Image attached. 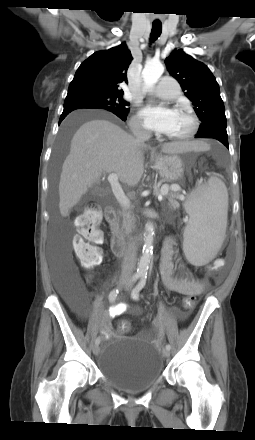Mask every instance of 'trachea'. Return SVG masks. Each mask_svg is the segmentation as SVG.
<instances>
[{"label":"trachea","mask_w":255,"mask_h":440,"mask_svg":"<svg viewBox=\"0 0 255 440\" xmlns=\"http://www.w3.org/2000/svg\"><path fill=\"white\" fill-rule=\"evenodd\" d=\"M162 32V25L161 23H153L152 24V30H151V35H150V39L151 41H155L161 34Z\"/></svg>","instance_id":"trachea-1"}]
</instances>
